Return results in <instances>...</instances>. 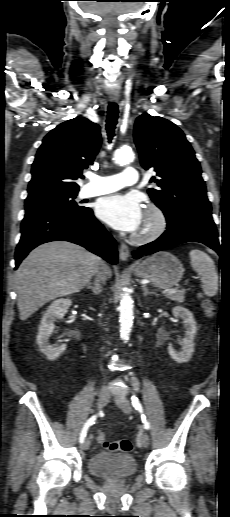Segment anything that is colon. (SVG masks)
I'll return each mask as SVG.
<instances>
[{
	"mask_svg": "<svg viewBox=\"0 0 230 517\" xmlns=\"http://www.w3.org/2000/svg\"><path fill=\"white\" fill-rule=\"evenodd\" d=\"M204 311L208 317H212L214 315L215 309L211 300L204 299L202 302ZM97 440L99 444L110 451H121V452H130L132 449V443L129 440H120V441H109L106 437V434L102 431L98 432Z\"/></svg>",
	"mask_w": 230,
	"mask_h": 517,
	"instance_id": "obj_1",
	"label": "colon"
}]
</instances>
